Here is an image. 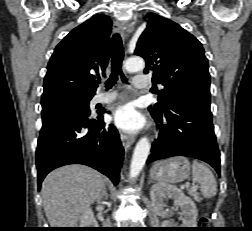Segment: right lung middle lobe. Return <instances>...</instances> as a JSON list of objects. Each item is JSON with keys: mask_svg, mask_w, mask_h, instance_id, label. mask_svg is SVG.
Returning <instances> with one entry per match:
<instances>
[{"mask_svg": "<svg viewBox=\"0 0 252 231\" xmlns=\"http://www.w3.org/2000/svg\"><path fill=\"white\" fill-rule=\"evenodd\" d=\"M92 97L61 95L47 100H42L43 122L53 117L64 114H86L89 113V101Z\"/></svg>", "mask_w": 252, "mask_h": 231, "instance_id": "1", "label": "right lung middle lobe"}]
</instances>
